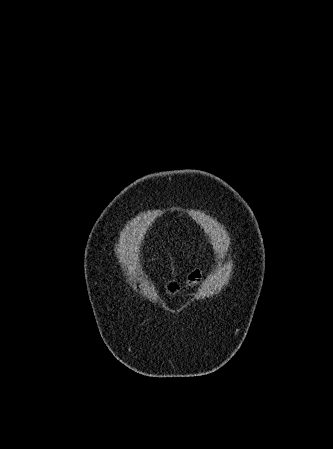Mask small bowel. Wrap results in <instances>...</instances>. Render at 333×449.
Returning <instances> with one entry per match:
<instances>
[{"label":"small bowel","instance_id":"c3829d8e","mask_svg":"<svg viewBox=\"0 0 333 449\" xmlns=\"http://www.w3.org/2000/svg\"><path fill=\"white\" fill-rule=\"evenodd\" d=\"M202 278V271L200 269H195L191 271L187 277L186 284L184 286V291H191L197 287ZM169 291L172 294H175L179 291V287L177 285H171L169 287Z\"/></svg>","mask_w":333,"mask_h":449}]
</instances>
